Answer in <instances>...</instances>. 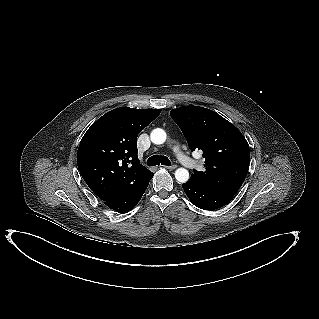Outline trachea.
<instances>
[{"label":"trachea","instance_id":"trachea-1","mask_svg":"<svg viewBox=\"0 0 319 319\" xmlns=\"http://www.w3.org/2000/svg\"><path fill=\"white\" fill-rule=\"evenodd\" d=\"M166 165V166H171V162L170 160L166 157V156H158V155H154L151 156L148 160H147V165L148 166H156V165Z\"/></svg>","mask_w":319,"mask_h":319}]
</instances>
